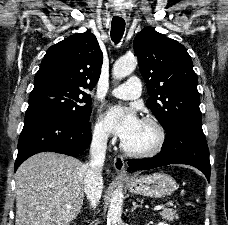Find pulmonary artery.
<instances>
[{
  "instance_id": "pulmonary-artery-1",
  "label": "pulmonary artery",
  "mask_w": 228,
  "mask_h": 225,
  "mask_svg": "<svg viewBox=\"0 0 228 225\" xmlns=\"http://www.w3.org/2000/svg\"><path fill=\"white\" fill-rule=\"evenodd\" d=\"M138 80L137 77H132L130 79V85H121L119 87L113 88L110 90L112 95H114L117 98L130 100L137 97V94H141V81H135Z\"/></svg>"
}]
</instances>
